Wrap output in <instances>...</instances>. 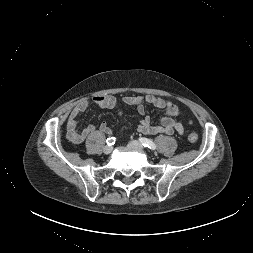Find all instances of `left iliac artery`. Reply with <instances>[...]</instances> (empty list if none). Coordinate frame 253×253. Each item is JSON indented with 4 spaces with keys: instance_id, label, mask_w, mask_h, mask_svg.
I'll return each mask as SVG.
<instances>
[{
    "instance_id": "44dca946",
    "label": "left iliac artery",
    "mask_w": 253,
    "mask_h": 253,
    "mask_svg": "<svg viewBox=\"0 0 253 253\" xmlns=\"http://www.w3.org/2000/svg\"><path fill=\"white\" fill-rule=\"evenodd\" d=\"M139 141L142 143V145H143L144 147H147V148H149V149H151V150H155V149H156V145H155L154 142H153L152 140H150V139H147V138L142 137V138L139 139Z\"/></svg>"
}]
</instances>
